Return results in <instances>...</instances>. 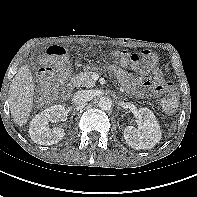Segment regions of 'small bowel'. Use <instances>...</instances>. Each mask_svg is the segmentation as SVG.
<instances>
[{
    "mask_svg": "<svg viewBox=\"0 0 197 197\" xmlns=\"http://www.w3.org/2000/svg\"><path fill=\"white\" fill-rule=\"evenodd\" d=\"M115 73L122 85L140 98L156 97L171 88L169 84L164 83L158 67L152 69V75L148 78L142 73H128L122 69H115Z\"/></svg>",
    "mask_w": 197,
    "mask_h": 197,
    "instance_id": "small-bowel-1",
    "label": "small bowel"
}]
</instances>
